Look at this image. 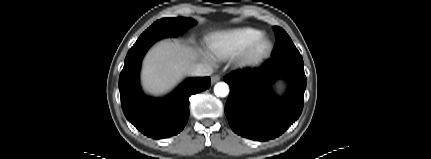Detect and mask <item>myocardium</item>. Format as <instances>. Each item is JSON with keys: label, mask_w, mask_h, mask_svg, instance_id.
Returning a JSON list of instances; mask_svg holds the SVG:
<instances>
[{"label": "myocardium", "mask_w": 431, "mask_h": 159, "mask_svg": "<svg viewBox=\"0 0 431 159\" xmlns=\"http://www.w3.org/2000/svg\"><path fill=\"white\" fill-rule=\"evenodd\" d=\"M272 50V41L267 36L261 34L238 52L237 64L241 67L257 64L267 58Z\"/></svg>", "instance_id": "1"}]
</instances>
